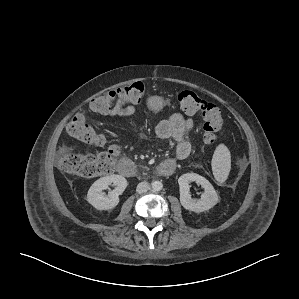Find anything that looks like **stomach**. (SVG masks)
Masks as SVG:
<instances>
[{"instance_id": "1", "label": "stomach", "mask_w": 299, "mask_h": 299, "mask_svg": "<svg viewBox=\"0 0 299 299\" xmlns=\"http://www.w3.org/2000/svg\"><path fill=\"white\" fill-rule=\"evenodd\" d=\"M167 104L168 102L160 96H150L147 99V107L153 113H159L163 111Z\"/></svg>"}]
</instances>
